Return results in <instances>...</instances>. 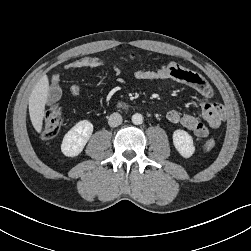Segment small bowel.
Returning <instances> with one entry per match:
<instances>
[{"instance_id":"small-bowel-1","label":"small bowel","mask_w":251,"mask_h":251,"mask_svg":"<svg viewBox=\"0 0 251 251\" xmlns=\"http://www.w3.org/2000/svg\"><path fill=\"white\" fill-rule=\"evenodd\" d=\"M105 66V62L97 57H83L65 65L67 70H76L82 68H99ZM112 72L118 74V69L112 67ZM138 80H172L187 85L197 91L201 96L209 99L213 96L211 85L198 73L175 62L162 64L158 69L137 70L134 74ZM60 76L54 74L51 78L48 102L54 103L61 96ZM72 96H78L81 93V87L73 84L70 87ZM201 113L203 120L198 119L191 114H182L177 110H170L166 118L173 124H180L186 129L192 131L197 137H206L210 128H218L224 119V109L221 104L206 101L201 104Z\"/></svg>"}]
</instances>
